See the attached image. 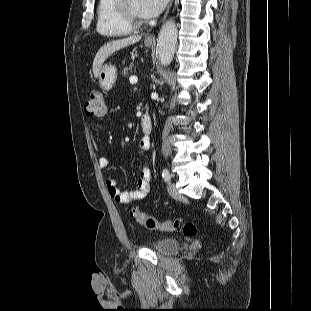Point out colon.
Segmentation results:
<instances>
[{
  "instance_id": "obj_1",
  "label": "colon",
  "mask_w": 311,
  "mask_h": 311,
  "mask_svg": "<svg viewBox=\"0 0 311 311\" xmlns=\"http://www.w3.org/2000/svg\"><path fill=\"white\" fill-rule=\"evenodd\" d=\"M107 112L105 95L100 90H94L90 93L85 104V113L91 117H104ZM129 215L140 225L163 232L182 231L186 236H194L197 233L195 224L191 221L183 222L181 219L168 220L161 222L151 215L140 211L137 208H130Z\"/></svg>"
}]
</instances>
